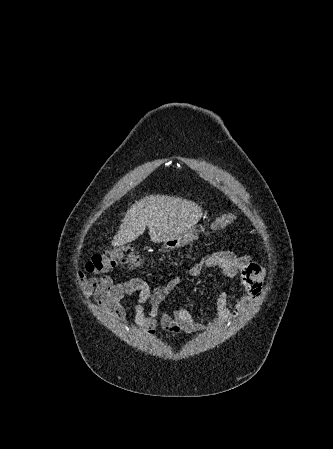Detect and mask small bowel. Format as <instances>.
Segmentation results:
<instances>
[{"instance_id": "small-bowel-1", "label": "small bowel", "mask_w": 333, "mask_h": 449, "mask_svg": "<svg viewBox=\"0 0 333 449\" xmlns=\"http://www.w3.org/2000/svg\"><path fill=\"white\" fill-rule=\"evenodd\" d=\"M203 267H214L228 278L238 277L244 292L239 295L235 307H228V293L221 291L215 302L214 320L209 326L225 325L245 313L259 299L265 277L264 269L248 256H238L229 251H220L205 257L202 261L189 267L186 274L197 276ZM80 285L88 297H93L99 308L112 318L124 322L126 310L121 301L126 297L137 296L134 306L135 324L148 334L154 333L160 326L167 333L177 336L182 333L194 334L205 327L198 323L182 307L172 312H162L163 300L180 285L181 277L172 278L166 285L153 290L140 278H131L123 282H114L108 275L86 277L79 273ZM147 306V308H146Z\"/></svg>"}]
</instances>
